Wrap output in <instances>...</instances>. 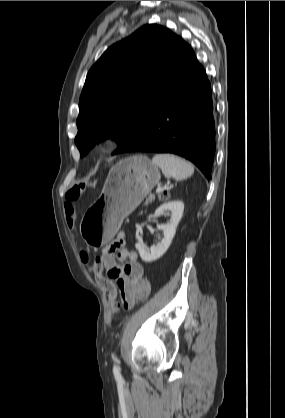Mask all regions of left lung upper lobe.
Returning a JSON list of instances; mask_svg holds the SVG:
<instances>
[{"label":"left lung upper lobe","mask_w":285,"mask_h":418,"mask_svg":"<svg viewBox=\"0 0 285 418\" xmlns=\"http://www.w3.org/2000/svg\"><path fill=\"white\" fill-rule=\"evenodd\" d=\"M184 40L145 25L113 44L89 70L79 100L75 143L81 157L105 138L124 153L139 137L181 57Z\"/></svg>","instance_id":"5c2ea615"}]
</instances>
